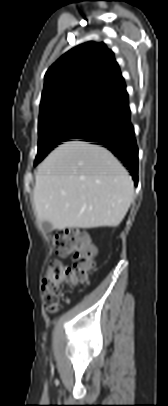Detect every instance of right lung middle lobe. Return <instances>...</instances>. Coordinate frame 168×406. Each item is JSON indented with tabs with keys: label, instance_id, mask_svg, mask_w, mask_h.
Returning a JSON list of instances; mask_svg holds the SVG:
<instances>
[{
	"label": "right lung middle lobe",
	"instance_id": "dd1d6c3e",
	"mask_svg": "<svg viewBox=\"0 0 168 406\" xmlns=\"http://www.w3.org/2000/svg\"><path fill=\"white\" fill-rule=\"evenodd\" d=\"M110 118L108 103L85 101L65 106L39 119L37 165L62 142L77 139Z\"/></svg>",
	"mask_w": 168,
	"mask_h": 406
}]
</instances>
